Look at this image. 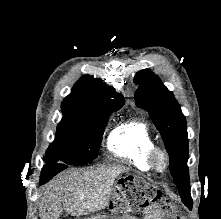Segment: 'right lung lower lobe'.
I'll list each match as a JSON object with an SVG mask.
<instances>
[{"instance_id": "right-lung-lower-lobe-1", "label": "right lung lower lobe", "mask_w": 221, "mask_h": 219, "mask_svg": "<svg viewBox=\"0 0 221 219\" xmlns=\"http://www.w3.org/2000/svg\"><path fill=\"white\" fill-rule=\"evenodd\" d=\"M65 168H67V165L59 163L45 165L41 172L40 185L48 182L52 177H54L57 173L61 172Z\"/></svg>"}]
</instances>
